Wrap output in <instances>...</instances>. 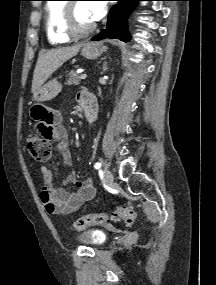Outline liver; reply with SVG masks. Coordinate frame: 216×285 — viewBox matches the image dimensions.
Segmentation results:
<instances>
[{
    "label": "liver",
    "instance_id": "obj_1",
    "mask_svg": "<svg viewBox=\"0 0 216 285\" xmlns=\"http://www.w3.org/2000/svg\"><path fill=\"white\" fill-rule=\"evenodd\" d=\"M83 44L52 49L39 55L32 81V93H36L43 83L68 59L79 52Z\"/></svg>",
    "mask_w": 216,
    "mask_h": 285
}]
</instances>
